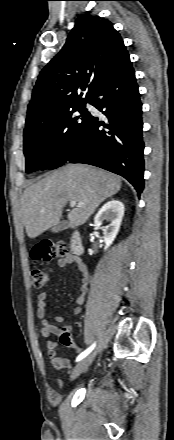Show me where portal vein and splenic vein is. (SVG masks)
Segmentation results:
<instances>
[{
    "instance_id": "18ae733b",
    "label": "portal vein and splenic vein",
    "mask_w": 174,
    "mask_h": 440,
    "mask_svg": "<svg viewBox=\"0 0 174 440\" xmlns=\"http://www.w3.org/2000/svg\"><path fill=\"white\" fill-rule=\"evenodd\" d=\"M76 205H78L79 207H81L83 204L82 203H77L76 201H70V206L71 207H75Z\"/></svg>"
}]
</instances>
